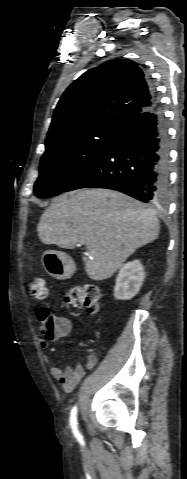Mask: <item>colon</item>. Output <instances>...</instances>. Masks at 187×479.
I'll list each match as a JSON object with an SVG mask.
<instances>
[{
    "label": "colon",
    "instance_id": "obj_1",
    "mask_svg": "<svg viewBox=\"0 0 187 479\" xmlns=\"http://www.w3.org/2000/svg\"><path fill=\"white\" fill-rule=\"evenodd\" d=\"M28 294L36 299H45L48 291L43 276H36L27 284ZM100 291L95 285H75L70 287L64 296L67 305L83 308L90 314H96L100 309ZM36 316L41 325V336L49 341L60 338L62 325L46 308H40Z\"/></svg>",
    "mask_w": 187,
    "mask_h": 479
}]
</instances>
